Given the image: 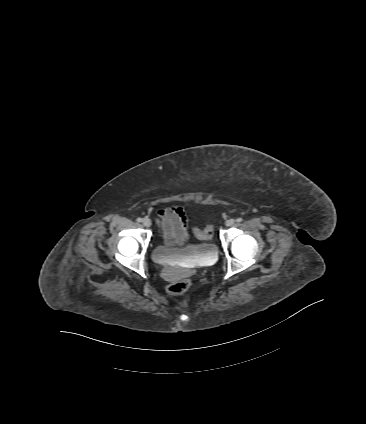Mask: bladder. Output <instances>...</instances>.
I'll return each instance as SVG.
<instances>
[{
  "label": "bladder",
  "instance_id": "31cf9c89",
  "mask_svg": "<svg viewBox=\"0 0 366 424\" xmlns=\"http://www.w3.org/2000/svg\"><path fill=\"white\" fill-rule=\"evenodd\" d=\"M217 252V246L208 242L190 244L181 248H171L164 244H157L152 250V258L159 264H168L183 258L203 261L215 257Z\"/></svg>",
  "mask_w": 366,
  "mask_h": 424
}]
</instances>
